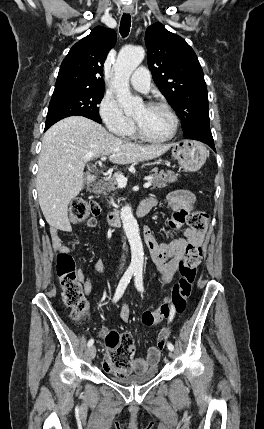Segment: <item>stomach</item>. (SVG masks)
I'll return each instance as SVG.
<instances>
[{"label": "stomach", "mask_w": 264, "mask_h": 429, "mask_svg": "<svg viewBox=\"0 0 264 429\" xmlns=\"http://www.w3.org/2000/svg\"><path fill=\"white\" fill-rule=\"evenodd\" d=\"M208 151L198 141L184 140L173 144L172 156L185 171H197L206 161Z\"/></svg>", "instance_id": "1"}]
</instances>
